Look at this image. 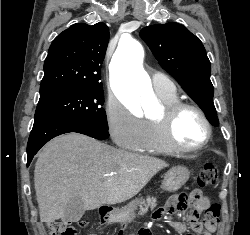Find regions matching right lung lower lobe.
Masks as SVG:
<instances>
[{
    "mask_svg": "<svg viewBox=\"0 0 250 235\" xmlns=\"http://www.w3.org/2000/svg\"><path fill=\"white\" fill-rule=\"evenodd\" d=\"M68 132H77L96 139L109 137L106 129L72 119L58 117L36 119L27 144V166H29L34 155L46 142Z\"/></svg>",
    "mask_w": 250,
    "mask_h": 235,
    "instance_id": "obj_1",
    "label": "right lung lower lobe"
}]
</instances>
